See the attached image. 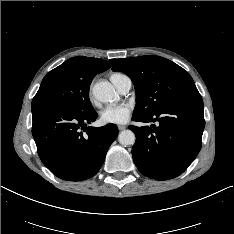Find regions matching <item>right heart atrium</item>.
<instances>
[{
	"mask_svg": "<svg viewBox=\"0 0 234 234\" xmlns=\"http://www.w3.org/2000/svg\"><path fill=\"white\" fill-rule=\"evenodd\" d=\"M89 99H90V101H91L92 103H94V98H93V96H92L91 89H90V91H89Z\"/></svg>",
	"mask_w": 234,
	"mask_h": 234,
	"instance_id": "obj_1",
	"label": "right heart atrium"
}]
</instances>
